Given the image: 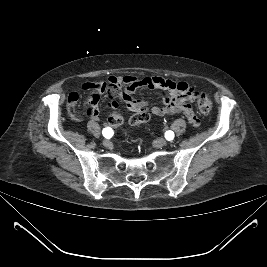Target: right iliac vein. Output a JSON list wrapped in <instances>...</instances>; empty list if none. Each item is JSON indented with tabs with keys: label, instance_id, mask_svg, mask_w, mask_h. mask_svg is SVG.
I'll return each mask as SVG.
<instances>
[{
	"label": "right iliac vein",
	"instance_id": "63e3f726",
	"mask_svg": "<svg viewBox=\"0 0 267 267\" xmlns=\"http://www.w3.org/2000/svg\"><path fill=\"white\" fill-rule=\"evenodd\" d=\"M102 144H103L104 147H110L111 146V141L106 139V140L103 141Z\"/></svg>",
	"mask_w": 267,
	"mask_h": 267
}]
</instances>
